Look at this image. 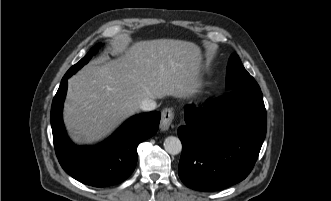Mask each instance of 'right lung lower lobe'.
<instances>
[{"mask_svg": "<svg viewBox=\"0 0 331 201\" xmlns=\"http://www.w3.org/2000/svg\"><path fill=\"white\" fill-rule=\"evenodd\" d=\"M69 77H63L51 108L53 140L59 163L71 177L84 184L94 187L118 184L134 171L137 147L156 133L161 114L135 115L103 143L95 147L76 146L69 140L62 120Z\"/></svg>", "mask_w": 331, "mask_h": 201, "instance_id": "right-lung-lower-lobe-1", "label": "right lung lower lobe"}]
</instances>
